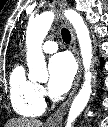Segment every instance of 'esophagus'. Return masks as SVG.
<instances>
[{
  "label": "esophagus",
  "mask_w": 108,
  "mask_h": 127,
  "mask_svg": "<svg viewBox=\"0 0 108 127\" xmlns=\"http://www.w3.org/2000/svg\"><path fill=\"white\" fill-rule=\"evenodd\" d=\"M58 5L60 7V10L63 12L64 9L67 7V1L66 0H58ZM61 21L64 25L67 26L70 35H71V50L76 58V61L78 63V71L77 74L75 76L74 82H73V86L72 89L69 93L68 98L63 102V104L47 119L46 121V126L47 127H60L62 124V120L64 115L66 114L72 100L73 97L75 96L77 89L79 87V83H80V78H81V73H82V64H81V59H80V55H79V51L77 48V44H76V37L74 34V31L70 25V23L68 22V20L62 15L61 17Z\"/></svg>",
  "instance_id": "34e87169"
}]
</instances>
